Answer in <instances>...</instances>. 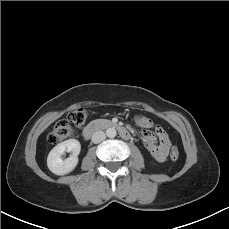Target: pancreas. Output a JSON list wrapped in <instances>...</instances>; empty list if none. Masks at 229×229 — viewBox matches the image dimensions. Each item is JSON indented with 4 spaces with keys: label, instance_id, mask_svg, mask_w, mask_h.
<instances>
[{
    "label": "pancreas",
    "instance_id": "pancreas-1",
    "mask_svg": "<svg viewBox=\"0 0 229 229\" xmlns=\"http://www.w3.org/2000/svg\"><path fill=\"white\" fill-rule=\"evenodd\" d=\"M97 123H100V124H105V123H110L109 120H105V119H99L96 121Z\"/></svg>",
    "mask_w": 229,
    "mask_h": 229
}]
</instances>
